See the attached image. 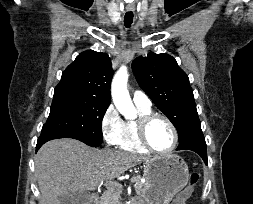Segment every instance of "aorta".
I'll return each mask as SVG.
<instances>
[{"label": "aorta", "mask_w": 253, "mask_h": 204, "mask_svg": "<svg viewBox=\"0 0 253 204\" xmlns=\"http://www.w3.org/2000/svg\"><path fill=\"white\" fill-rule=\"evenodd\" d=\"M128 72L125 66H122L115 74L112 85L111 93L113 102L117 110L126 119L136 118V109L132 103L129 92L127 90Z\"/></svg>", "instance_id": "762f6f07"}]
</instances>
